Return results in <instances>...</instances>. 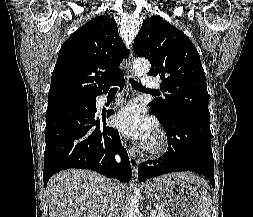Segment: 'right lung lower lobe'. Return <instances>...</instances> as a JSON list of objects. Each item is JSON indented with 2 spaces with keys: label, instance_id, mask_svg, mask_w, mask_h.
Here are the masks:
<instances>
[{
  "label": "right lung lower lobe",
  "instance_id": "1",
  "mask_svg": "<svg viewBox=\"0 0 253 217\" xmlns=\"http://www.w3.org/2000/svg\"><path fill=\"white\" fill-rule=\"evenodd\" d=\"M117 83L122 89L123 76L114 84ZM113 112L97 114L96 107L72 106L46 113L45 187L52 175L68 168L90 169L129 182L132 170L127 152L118 131L106 125ZM117 153L122 158L120 164L115 161Z\"/></svg>",
  "mask_w": 253,
  "mask_h": 217
}]
</instances>
